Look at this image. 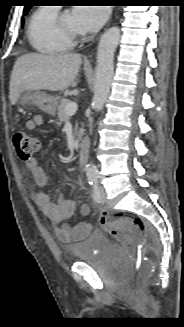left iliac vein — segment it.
<instances>
[{"mask_svg": "<svg viewBox=\"0 0 184 327\" xmlns=\"http://www.w3.org/2000/svg\"><path fill=\"white\" fill-rule=\"evenodd\" d=\"M99 192H100V198L99 202L100 203H105L106 202V193L103 187H99Z\"/></svg>", "mask_w": 184, "mask_h": 327, "instance_id": "1", "label": "left iliac vein"}]
</instances>
